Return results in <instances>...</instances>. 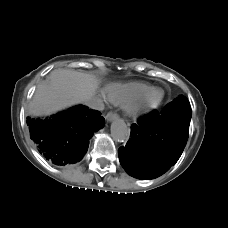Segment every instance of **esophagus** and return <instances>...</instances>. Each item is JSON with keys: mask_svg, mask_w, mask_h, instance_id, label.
I'll list each match as a JSON object with an SVG mask.
<instances>
[{"mask_svg": "<svg viewBox=\"0 0 228 228\" xmlns=\"http://www.w3.org/2000/svg\"><path fill=\"white\" fill-rule=\"evenodd\" d=\"M105 118H106L107 122H111V121L116 120L118 118V114H116L113 111H110L107 113Z\"/></svg>", "mask_w": 228, "mask_h": 228, "instance_id": "obj_1", "label": "esophagus"}]
</instances>
